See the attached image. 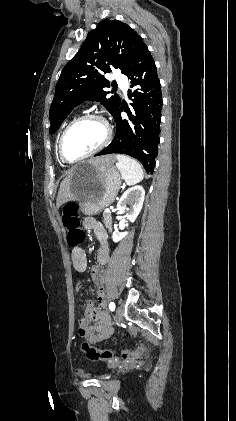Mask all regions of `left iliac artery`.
I'll use <instances>...</instances> for the list:
<instances>
[{
    "mask_svg": "<svg viewBox=\"0 0 236 421\" xmlns=\"http://www.w3.org/2000/svg\"><path fill=\"white\" fill-rule=\"evenodd\" d=\"M109 309H110L111 311H114V310H115V304H114V302H111V303L109 304Z\"/></svg>",
    "mask_w": 236,
    "mask_h": 421,
    "instance_id": "obj_1",
    "label": "left iliac artery"
}]
</instances>
